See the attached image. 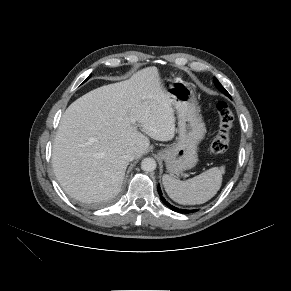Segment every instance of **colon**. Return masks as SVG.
Segmentation results:
<instances>
[{
  "label": "colon",
  "mask_w": 291,
  "mask_h": 291,
  "mask_svg": "<svg viewBox=\"0 0 291 291\" xmlns=\"http://www.w3.org/2000/svg\"><path fill=\"white\" fill-rule=\"evenodd\" d=\"M219 116V129L210 144L213 154H222L227 151L230 143V134L233 127V112L225 102H219L216 106Z\"/></svg>",
  "instance_id": "1"
}]
</instances>
